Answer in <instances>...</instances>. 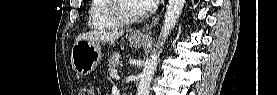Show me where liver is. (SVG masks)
Returning a JSON list of instances; mask_svg holds the SVG:
<instances>
[{
	"label": "liver",
	"instance_id": "liver-1",
	"mask_svg": "<svg viewBox=\"0 0 277 95\" xmlns=\"http://www.w3.org/2000/svg\"><path fill=\"white\" fill-rule=\"evenodd\" d=\"M122 34L123 32L92 31L79 35L76 41L88 40L91 42H114L119 39Z\"/></svg>",
	"mask_w": 277,
	"mask_h": 95
}]
</instances>
